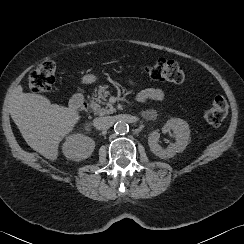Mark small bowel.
Segmentation results:
<instances>
[{
    "label": "small bowel",
    "mask_w": 244,
    "mask_h": 244,
    "mask_svg": "<svg viewBox=\"0 0 244 244\" xmlns=\"http://www.w3.org/2000/svg\"><path fill=\"white\" fill-rule=\"evenodd\" d=\"M131 85H134L133 81H129ZM165 92L159 88H147L141 90L137 94V100L139 102H144L147 100L160 101L164 99Z\"/></svg>",
    "instance_id": "obj_1"
}]
</instances>
